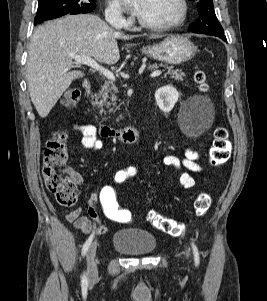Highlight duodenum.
I'll list each match as a JSON object with an SVG mask.
<instances>
[{"label":"duodenum","instance_id":"1","mask_svg":"<svg viewBox=\"0 0 267 301\" xmlns=\"http://www.w3.org/2000/svg\"><path fill=\"white\" fill-rule=\"evenodd\" d=\"M83 88L86 92L91 91V83L83 82ZM100 133L105 138L117 139L125 142H136L139 139V131L136 127L114 128L105 124H100Z\"/></svg>","mask_w":267,"mask_h":301}]
</instances>
